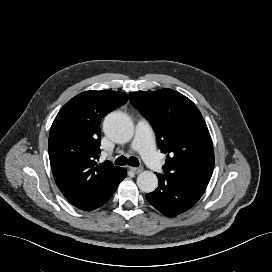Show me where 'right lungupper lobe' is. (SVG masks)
Returning <instances> with one entry per match:
<instances>
[{
  "mask_svg": "<svg viewBox=\"0 0 272 272\" xmlns=\"http://www.w3.org/2000/svg\"><path fill=\"white\" fill-rule=\"evenodd\" d=\"M127 100L128 95L117 91H86L68 101L53 121L48 143L51 169L58 188L76 207L95 201L121 175L123 168L109 161L97 164L99 125Z\"/></svg>",
  "mask_w": 272,
  "mask_h": 272,
  "instance_id": "cb5924a9",
  "label": "right lung upper lobe"
}]
</instances>
